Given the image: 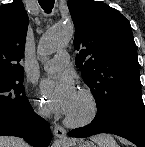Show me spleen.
<instances>
[{"mask_svg": "<svg viewBox=\"0 0 145 147\" xmlns=\"http://www.w3.org/2000/svg\"><path fill=\"white\" fill-rule=\"evenodd\" d=\"M95 141L99 147H118L114 138L110 135H99L92 139Z\"/></svg>", "mask_w": 145, "mask_h": 147, "instance_id": "1", "label": "spleen"}]
</instances>
